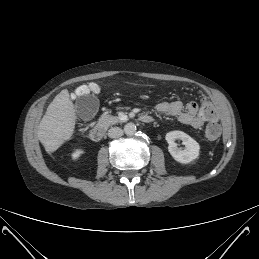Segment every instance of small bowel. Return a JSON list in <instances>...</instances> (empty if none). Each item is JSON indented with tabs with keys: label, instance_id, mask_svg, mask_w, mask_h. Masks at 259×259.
Instances as JSON below:
<instances>
[{
	"label": "small bowel",
	"instance_id": "c3829d8e",
	"mask_svg": "<svg viewBox=\"0 0 259 259\" xmlns=\"http://www.w3.org/2000/svg\"><path fill=\"white\" fill-rule=\"evenodd\" d=\"M157 112L177 117L178 121L193 128H200L209 121L202 112V107L198 108L195 102H189L185 106L179 100L163 101L156 106Z\"/></svg>",
	"mask_w": 259,
	"mask_h": 259
}]
</instances>
